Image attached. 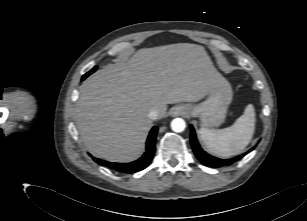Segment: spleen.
<instances>
[{
    "instance_id": "1",
    "label": "spleen",
    "mask_w": 307,
    "mask_h": 221,
    "mask_svg": "<svg viewBox=\"0 0 307 221\" xmlns=\"http://www.w3.org/2000/svg\"><path fill=\"white\" fill-rule=\"evenodd\" d=\"M255 109L248 104L235 123L224 129L199 130L206 148L214 155L227 158L240 154L250 143L255 131Z\"/></svg>"
}]
</instances>
